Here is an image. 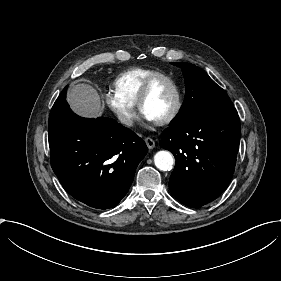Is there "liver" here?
Masks as SVG:
<instances>
[{
  "label": "liver",
  "mask_w": 281,
  "mask_h": 281,
  "mask_svg": "<svg viewBox=\"0 0 281 281\" xmlns=\"http://www.w3.org/2000/svg\"><path fill=\"white\" fill-rule=\"evenodd\" d=\"M67 101L80 116L97 118L103 113L100 96L89 84L79 83L72 86L67 92Z\"/></svg>",
  "instance_id": "liver-1"
}]
</instances>
